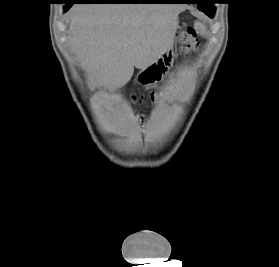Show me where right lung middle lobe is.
I'll return each mask as SVG.
<instances>
[{
	"instance_id": "right-lung-middle-lobe-1",
	"label": "right lung middle lobe",
	"mask_w": 279,
	"mask_h": 267,
	"mask_svg": "<svg viewBox=\"0 0 279 267\" xmlns=\"http://www.w3.org/2000/svg\"><path fill=\"white\" fill-rule=\"evenodd\" d=\"M69 0H66L65 2L67 3ZM121 1H126V2H133V1H136V0H121Z\"/></svg>"
}]
</instances>
